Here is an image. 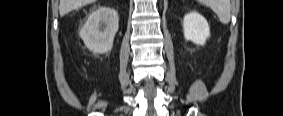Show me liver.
I'll list each match as a JSON object with an SVG mask.
<instances>
[{
	"instance_id": "1",
	"label": "liver",
	"mask_w": 283,
	"mask_h": 116,
	"mask_svg": "<svg viewBox=\"0 0 283 116\" xmlns=\"http://www.w3.org/2000/svg\"><path fill=\"white\" fill-rule=\"evenodd\" d=\"M94 0H60L59 13L60 16H64L69 12L78 9L84 5L90 4Z\"/></svg>"
}]
</instances>
